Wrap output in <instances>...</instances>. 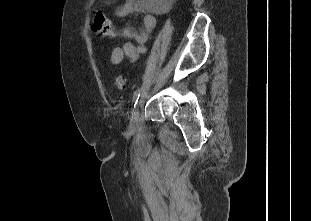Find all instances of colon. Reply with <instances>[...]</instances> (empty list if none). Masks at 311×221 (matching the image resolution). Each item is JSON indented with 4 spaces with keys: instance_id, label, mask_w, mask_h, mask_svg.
<instances>
[{
    "instance_id": "5ec220e1",
    "label": "colon",
    "mask_w": 311,
    "mask_h": 221,
    "mask_svg": "<svg viewBox=\"0 0 311 221\" xmlns=\"http://www.w3.org/2000/svg\"><path fill=\"white\" fill-rule=\"evenodd\" d=\"M95 32L102 37L112 38L115 34L116 27L113 22L107 17L98 14L95 18ZM113 87L118 90H123L126 87V78L123 75H118L113 81Z\"/></svg>"
}]
</instances>
